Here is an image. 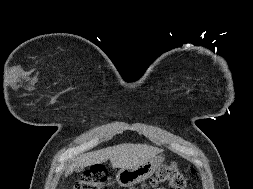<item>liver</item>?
Returning a JSON list of instances; mask_svg holds the SVG:
<instances>
[{
  "label": "liver",
  "instance_id": "6515ba94",
  "mask_svg": "<svg viewBox=\"0 0 253 189\" xmlns=\"http://www.w3.org/2000/svg\"><path fill=\"white\" fill-rule=\"evenodd\" d=\"M161 152L160 149L146 144L124 143L101 150L88 152L79 155L73 163L66 169L65 176L71 174L76 167H87L94 164L111 161L116 168H133L140 166L151 158L156 157Z\"/></svg>",
  "mask_w": 253,
  "mask_h": 189
}]
</instances>
